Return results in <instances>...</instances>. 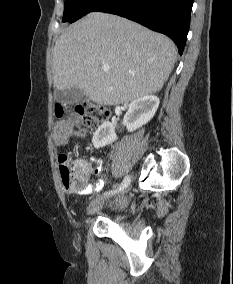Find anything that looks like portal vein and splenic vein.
<instances>
[{"label":"portal vein and splenic vein","instance_id":"1","mask_svg":"<svg viewBox=\"0 0 233 284\" xmlns=\"http://www.w3.org/2000/svg\"><path fill=\"white\" fill-rule=\"evenodd\" d=\"M101 69H102L103 71H109L110 66L107 65V64H103L102 67H101Z\"/></svg>","mask_w":233,"mask_h":284}]
</instances>
